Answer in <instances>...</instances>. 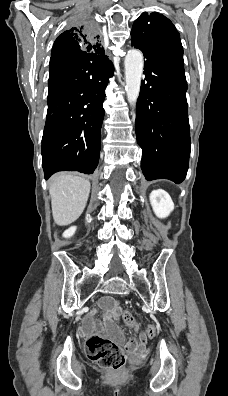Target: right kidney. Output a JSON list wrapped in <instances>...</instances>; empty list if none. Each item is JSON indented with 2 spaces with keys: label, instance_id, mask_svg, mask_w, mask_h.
Instances as JSON below:
<instances>
[{
  "label": "right kidney",
  "instance_id": "right-kidney-1",
  "mask_svg": "<svg viewBox=\"0 0 228 396\" xmlns=\"http://www.w3.org/2000/svg\"><path fill=\"white\" fill-rule=\"evenodd\" d=\"M75 231H76V226H72V227H70L69 229H67V230L63 233V237L69 238V237H71V236L74 235Z\"/></svg>",
  "mask_w": 228,
  "mask_h": 396
}]
</instances>
